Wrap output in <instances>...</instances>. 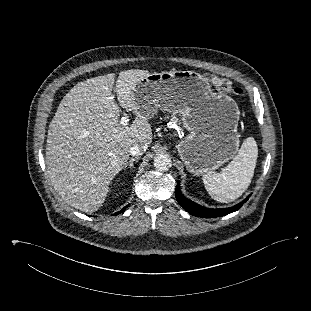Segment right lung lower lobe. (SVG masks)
Listing matches in <instances>:
<instances>
[{
    "label": "right lung lower lobe",
    "instance_id": "1",
    "mask_svg": "<svg viewBox=\"0 0 311 311\" xmlns=\"http://www.w3.org/2000/svg\"><path fill=\"white\" fill-rule=\"evenodd\" d=\"M125 209H126V208H123L121 211L115 213V215H116V214H119L120 212H123Z\"/></svg>",
    "mask_w": 311,
    "mask_h": 311
}]
</instances>
